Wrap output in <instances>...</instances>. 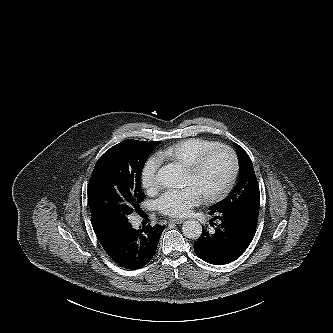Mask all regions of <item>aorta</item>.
<instances>
[{"label": "aorta", "instance_id": "1", "mask_svg": "<svg viewBox=\"0 0 333 333\" xmlns=\"http://www.w3.org/2000/svg\"><path fill=\"white\" fill-rule=\"evenodd\" d=\"M156 177L164 187L178 188L184 184L182 170L174 163L161 167ZM182 232L185 237L196 240L202 234V225L197 220H187L182 225Z\"/></svg>", "mask_w": 333, "mask_h": 333}]
</instances>
